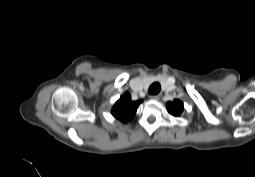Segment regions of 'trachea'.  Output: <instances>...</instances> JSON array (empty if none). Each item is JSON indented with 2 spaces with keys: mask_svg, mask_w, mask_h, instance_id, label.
I'll list each match as a JSON object with an SVG mask.
<instances>
[{
  "mask_svg": "<svg viewBox=\"0 0 255 177\" xmlns=\"http://www.w3.org/2000/svg\"><path fill=\"white\" fill-rule=\"evenodd\" d=\"M161 86L158 82L153 83L148 90V93L151 95H156L160 92Z\"/></svg>",
  "mask_w": 255,
  "mask_h": 177,
  "instance_id": "obj_1",
  "label": "trachea"
}]
</instances>
